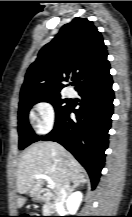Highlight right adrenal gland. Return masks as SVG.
<instances>
[{"mask_svg": "<svg viewBox=\"0 0 132 217\" xmlns=\"http://www.w3.org/2000/svg\"><path fill=\"white\" fill-rule=\"evenodd\" d=\"M85 182H86V179H85L84 175L79 176V178L76 181H74V184H73L71 190L69 191V194L71 192H73L77 186H79L80 184H84Z\"/></svg>", "mask_w": 132, "mask_h": 217, "instance_id": "2a0ac1e0", "label": "right adrenal gland"}]
</instances>
